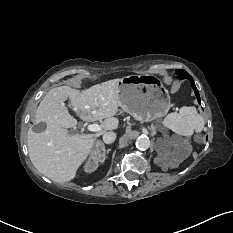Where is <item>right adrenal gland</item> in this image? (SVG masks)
<instances>
[{"label":"right adrenal gland","mask_w":233,"mask_h":233,"mask_svg":"<svg viewBox=\"0 0 233 233\" xmlns=\"http://www.w3.org/2000/svg\"><path fill=\"white\" fill-rule=\"evenodd\" d=\"M99 144L103 145V143H102V142H101V143H99ZM110 151H111V148H109V149H107V150H104V154H108Z\"/></svg>","instance_id":"right-adrenal-gland-1"}]
</instances>
